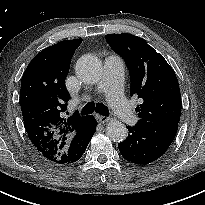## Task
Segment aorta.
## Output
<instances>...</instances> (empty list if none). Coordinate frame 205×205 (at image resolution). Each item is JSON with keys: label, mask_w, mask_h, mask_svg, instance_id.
<instances>
[{"label": "aorta", "mask_w": 205, "mask_h": 205, "mask_svg": "<svg viewBox=\"0 0 205 205\" xmlns=\"http://www.w3.org/2000/svg\"><path fill=\"white\" fill-rule=\"evenodd\" d=\"M75 71L82 82L87 84L98 83L102 75L101 62L94 55H83L78 59ZM127 133L126 126L117 120H111L106 126V134L114 142L125 140Z\"/></svg>", "instance_id": "762f6f07"}]
</instances>
